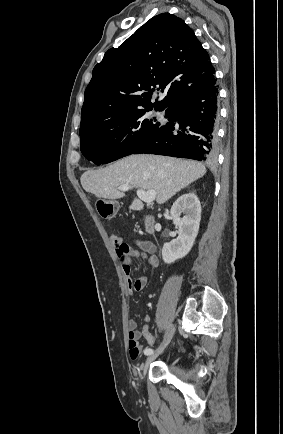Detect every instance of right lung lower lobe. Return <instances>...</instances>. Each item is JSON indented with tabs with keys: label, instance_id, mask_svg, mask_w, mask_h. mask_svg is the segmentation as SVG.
Instances as JSON below:
<instances>
[{
	"label": "right lung lower lobe",
	"instance_id": "right-lung-lower-lobe-1",
	"mask_svg": "<svg viewBox=\"0 0 283 434\" xmlns=\"http://www.w3.org/2000/svg\"><path fill=\"white\" fill-rule=\"evenodd\" d=\"M162 124L132 154L148 153L212 162L216 151L218 88L211 87L166 109Z\"/></svg>",
	"mask_w": 283,
	"mask_h": 434
}]
</instances>
